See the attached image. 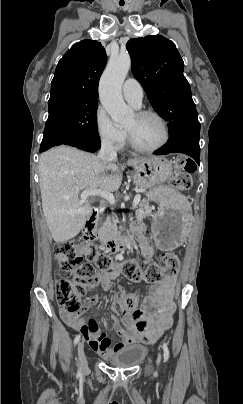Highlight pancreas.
<instances>
[{"instance_id": "cf45deb5", "label": "pancreas", "mask_w": 243, "mask_h": 404, "mask_svg": "<svg viewBox=\"0 0 243 404\" xmlns=\"http://www.w3.org/2000/svg\"><path fill=\"white\" fill-rule=\"evenodd\" d=\"M151 212L152 210L149 206L148 200H142V202L138 204L137 210H135V218L136 220H144L146 216H151ZM117 224L118 218L117 216H113L112 224H105L104 228H101L99 232V240L107 242V240H112L117 234H120V232H118Z\"/></svg>"}]
</instances>
